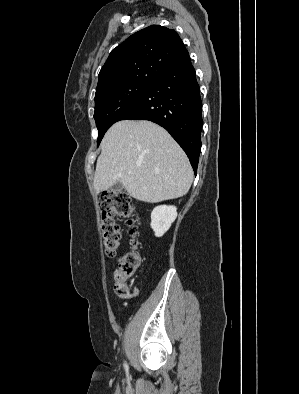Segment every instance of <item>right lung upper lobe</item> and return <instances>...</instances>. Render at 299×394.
Instances as JSON below:
<instances>
[{
  "instance_id": "1",
  "label": "right lung upper lobe",
  "mask_w": 299,
  "mask_h": 394,
  "mask_svg": "<svg viewBox=\"0 0 299 394\" xmlns=\"http://www.w3.org/2000/svg\"><path fill=\"white\" fill-rule=\"evenodd\" d=\"M189 56L176 31L152 25L114 48L98 76L96 95L130 82L152 83Z\"/></svg>"
}]
</instances>
